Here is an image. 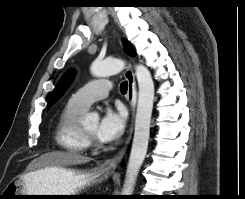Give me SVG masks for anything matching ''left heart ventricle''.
Instances as JSON below:
<instances>
[{
	"label": "left heart ventricle",
	"mask_w": 245,
	"mask_h": 199,
	"mask_svg": "<svg viewBox=\"0 0 245 199\" xmlns=\"http://www.w3.org/2000/svg\"><path fill=\"white\" fill-rule=\"evenodd\" d=\"M97 127H98V121L97 120H92L85 124L83 128L92 136L96 137V132H97ZM97 138V137H96Z\"/></svg>",
	"instance_id": "1"
}]
</instances>
